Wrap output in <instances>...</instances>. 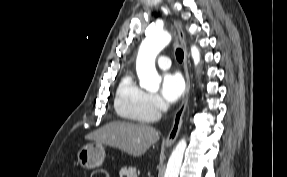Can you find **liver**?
<instances>
[{"mask_svg": "<svg viewBox=\"0 0 287 177\" xmlns=\"http://www.w3.org/2000/svg\"><path fill=\"white\" fill-rule=\"evenodd\" d=\"M85 138L138 157L159 140L160 133L146 124L113 121L88 134Z\"/></svg>", "mask_w": 287, "mask_h": 177, "instance_id": "liver-1", "label": "liver"}]
</instances>
